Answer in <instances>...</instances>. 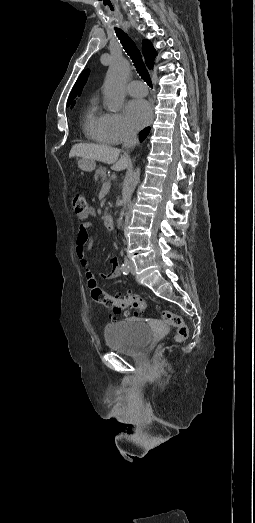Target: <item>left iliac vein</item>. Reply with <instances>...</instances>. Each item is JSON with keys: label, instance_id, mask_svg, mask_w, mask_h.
<instances>
[{"label": "left iliac vein", "instance_id": "obj_1", "mask_svg": "<svg viewBox=\"0 0 255 523\" xmlns=\"http://www.w3.org/2000/svg\"><path fill=\"white\" fill-rule=\"evenodd\" d=\"M128 267H129V271L131 272V274L135 275L136 270H135L134 264L129 261L128 262Z\"/></svg>", "mask_w": 255, "mask_h": 523}]
</instances>
